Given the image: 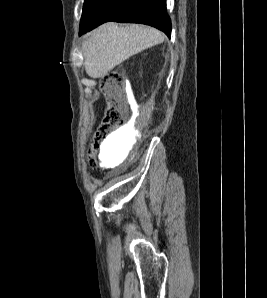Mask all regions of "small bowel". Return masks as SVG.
Wrapping results in <instances>:
<instances>
[{"mask_svg": "<svg viewBox=\"0 0 267 298\" xmlns=\"http://www.w3.org/2000/svg\"><path fill=\"white\" fill-rule=\"evenodd\" d=\"M116 139H117V135L113 133L108 137V143L113 144L116 142Z\"/></svg>", "mask_w": 267, "mask_h": 298, "instance_id": "obj_1", "label": "small bowel"}]
</instances>
